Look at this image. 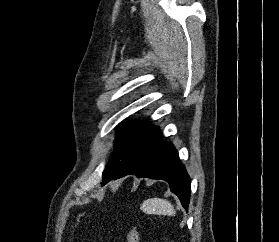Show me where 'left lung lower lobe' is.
<instances>
[{"label":"left lung lower lobe","mask_w":279,"mask_h":242,"mask_svg":"<svg viewBox=\"0 0 279 242\" xmlns=\"http://www.w3.org/2000/svg\"><path fill=\"white\" fill-rule=\"evenodd\" d=\"M129 174L139 178L148 177L167 181L171 192L178 196L182 206L185 208L189 206L190 178L173 144L161 140L132 163L121 177Z\"/></svg>","instance_id":"1"}]
</instances>
